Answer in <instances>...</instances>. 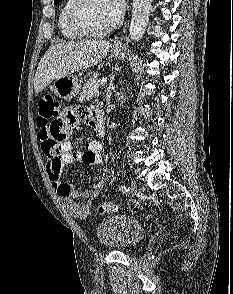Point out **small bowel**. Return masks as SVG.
Returning <instances> with one entry per match:
<instances>
[{"label":"small bowel","mask_w":233,"mask_h":294,"mask_svg":"<svg viewBox=\"0 0 233 294\" xmlns=\"http://www.w3.org/2000/svg\"><path fill=\"white\" fill-rule=\"evenodd\" d=\"M84 106V103L69 104V108L53 110V115L56 117L39 132L42 150L47 158V173L51 184L68 212L79 220H86L92 215L94 200L110 179V171L104 168L100 180L86 189L76 188L61 180V173L69 164L82 162L91 166L103 162L100 142H89L83 151L75 149L68 142L69 137H73L72 128L76 126L79 118H83L97 131V111ZM79 198H84L85 203L81 204Z\"/></svg>","instance_id":"1"}]
</instances>
